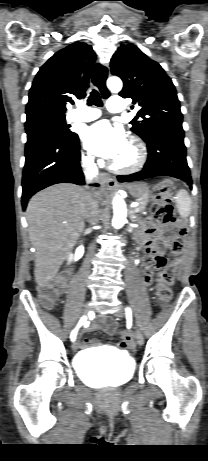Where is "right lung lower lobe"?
I'll return each mask as SVG.
<instances>
[{"label": "right lung lower lobe", "instance_id": "98d812e1", "mask_svg": "<svg viewBox=\"0 0 208 461\" xmlns=\"http://www.w3.org/2000/svg\"><path fill=\"white\" fill-rule=\"evenodd\" d=\"M80 157L77 134L70 139L58 135H43L26 143L22 178L23 210L30 197L45 187L56 183L84 185Z\"/></svg>", "mask_w": 208, "mask_h": 461}]
</instances>
